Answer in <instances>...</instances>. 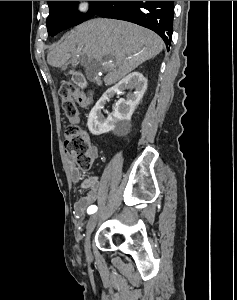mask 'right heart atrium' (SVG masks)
<instances>
[{
    "label": "right heart atrium",
    "mask_w": 237,
    "mask_h": 300,
    "mask_svg": "<svg viewBox=\"0 0 237 300\" xmlns=\"http://www.w3.org/2000/svg\"><path fill=\"white\" fill-rule=\"evenodd\" d=\"M73 8L79 14H87L90 11L89 1H73Z\"/></svg>",
    "instance_id": "obj_1"
}]
</instances>
